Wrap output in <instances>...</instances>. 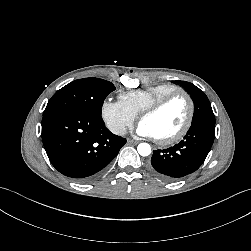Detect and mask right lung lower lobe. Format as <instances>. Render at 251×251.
<instances>
[{
  "label": "right lung lower lobe",
  "instance_id": "right-lung-lower-lobe-1",
  "mask_svg": "<svg viewBox=\"0 0 251 251\" xmlns=\"http://www.w3.org/2000/svg\"><path fill=\"white\" fill-rule=\"evenodd\" d=\"M42 140L52 165L79 182L101 176L126 143L105 127L101 115L70 110L43 113Z\"/></svg>",
  "mask_w": 251,
  "mask_h": 251
}]
</instances>
